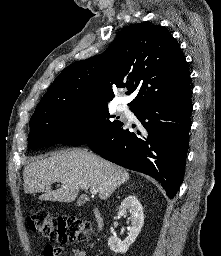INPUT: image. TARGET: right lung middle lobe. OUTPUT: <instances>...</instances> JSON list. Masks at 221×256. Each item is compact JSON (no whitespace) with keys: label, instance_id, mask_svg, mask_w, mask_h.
Instances as JSON below:
<instances>
[{"label":"right lung middle lobe","instance_id":"1","mask_svg":"<svg viewBox=\"0 0 221 256\" xmlns=\"http://www.w3.org/2000/svg\"><path fill=\"white\" fill-rule=\"evenodd\" d=\"M113 118L107 103L55 106L34 113L30 120L28 148L88 143L120 122Z\"/></svg>","mask_w":221,"mask_h":256}]
</instances>
